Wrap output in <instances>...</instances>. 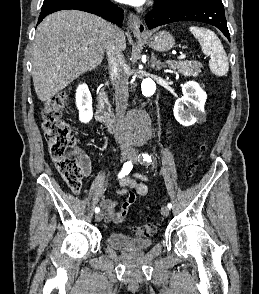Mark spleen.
I'll return each instance as SVG.
<instances>
[{"instance_id": "1", "label": "spleen", "mask_w": 259, "mask_h": 294, "mask_svg": "<svg viewBox=\"0 0 259 294\" xmlns=\"http://www.w3.org/2000/svg\"><path fill=\"white\" fill-rule=\"evenodd\" d=\"M189 31L200 43L203 53L210 56L209 67L212 73L219 77L226 75L229 63L218 36L213 31L203 27L191 26Z\"/></svg>"}]
</instances>
